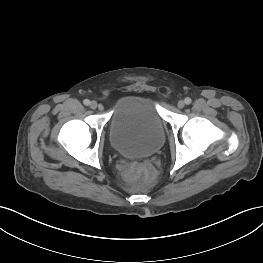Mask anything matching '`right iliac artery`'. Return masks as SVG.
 <instances>
[{"mask_svg":"<svg viewBox=\"0 0 263 263\" xmlns=\"http://www.w3.org/2000/svg\"><path fill=\"white\" fill-rule=\"evenodd\" d=\"M83 103H84V105L88 106V105L90 104V100L85 99V100L83 101Z\"/></svg>","mask_w":263,"mask_h":263,"instance_id":"right-iliac-artery-1","label":"right iliac artery"}]
</instances>
